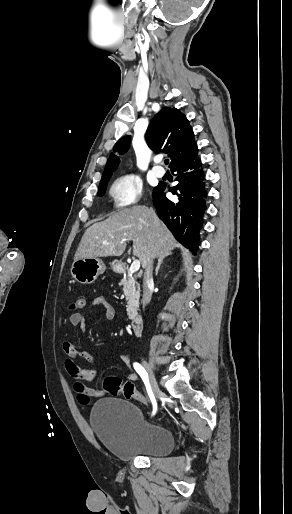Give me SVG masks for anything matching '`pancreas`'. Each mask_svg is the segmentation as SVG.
<instances>
[{"instance_id":"pancreas-1","label":"pancreas","mask_w":292,"mask_h":514,"mask_svg":"<svg viewBox=\"0 0 292 514\" xmlns=\"http://www.w3.org/2000/svg\"><path fill=\"white\" fill-rule=\"evenodd\" d=\"M136 282L134 278L131 276H124L123 280H121L119 286H123V292L126 296L127 306V316H129L130 320H134L135 316H137V308L139 306V298H140V290L139 284H137L138 288L135 286Z\"/></svg>"}]
</instances>
